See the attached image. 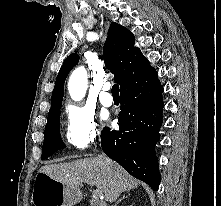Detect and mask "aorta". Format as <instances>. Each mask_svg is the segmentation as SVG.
Wrapping results in <instances>:
<instances>
[{"instance_id":"762f6f07","label":"aorta","mask_w":221,"mask_h":206,"mask_svg":"<svg viewBox=\"0 0 221 206\" xmlns=\"http://www.w3.org/2000/svg\"><path fill=\"white\" fill-rule=\"evenodd\" d=\"M87 78V71L84 67H79L72 72L68 81V91L73 100L80 101L85 96Z\"/></svg>"}]
</instances>
